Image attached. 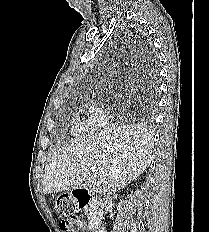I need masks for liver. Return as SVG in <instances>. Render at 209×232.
I'll return each instance as SVG.
<instances>
[{
  "label": "liver",
  "instance_id": "1",
  "mask_svg": "<svg viewBox=\"0 0 209 232\" xmlns=\"http://www.w3.org/2000/svg\"><path fill=\"white\" fill-rule=\"evenodd\" d=\"M153 148L145 129L132 125H113L76 138L52 155L43 176V193L70 191L84 182L90 192L109 196L145 171Z\"/></svg>",
  "mask_w": 209,
  "mask_h": 232
}]
</instances>
